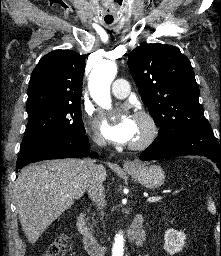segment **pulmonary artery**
Instances as JSON below:
<instances>
[{
    "label": "pulmonary artery",
    "mask_w": 221,
    "mask_h": 256,
    "mask_svg": "<svg viewBox=\"0 0 221 256\" xmlns=\"http://www.w3.org/2000/svg\"><path fill=\"white\" fill-rule=\"evenodd\" d=\"M112 93L117 98H125L129 94V84L124 79H117L112 85Z\"/></svg>",
    "instance_id": "e3ab8cb5"
}]
</instances>
